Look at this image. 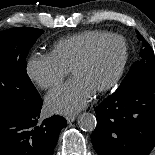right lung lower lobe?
<instances>
[{"instance_id": "obj_1", "label": "right lung lower lobe", "mask_w": 155, "mask_h": 155, "mask_svg": "<svg viewBox=\"0 0 155 155\" xmlns=\"http://www.w3.org/2000/svg\"><path fill=\"white\" fill-rule=\"evenodd\" d=\"M39 98L29 110H0V155H51L65 118L54 115L38 125Z\"/></svg>"}]
</instances>
